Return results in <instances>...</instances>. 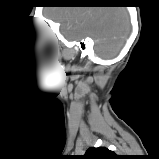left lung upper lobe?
I'll list each match as a JSON object with an SVG mask.
<instances>
[{"instance_id":"left-lung-upper-lobe-1","label":"left lung upper lobe","mask_w":159,"mask_h":159,"mask_svg":"<svg viewBox=\"0 0 159 159\" xmlns=\"http://www.w3.org/2000/svg\"><path fill=\"white\" fill-rule=\"evenodd\" d=\"M80 159H120V156L105 147H98L89 148Z\"/></svg>"}]
</instances>
